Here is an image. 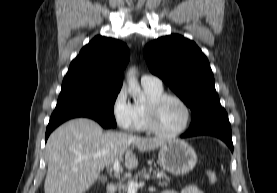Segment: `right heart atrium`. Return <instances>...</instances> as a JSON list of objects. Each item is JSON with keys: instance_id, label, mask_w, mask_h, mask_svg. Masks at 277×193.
Masks as SVG:
<instances>
[{"instance_id": "right-heart-atrium-1", "label": "right heart atrium", "mask_w": 277, "mask_h": 193, "mask_svg": "<svg viewBox=\"0 0 277 193\" xmlns=\"http://www.w3.org/2000/svg\"><path fill=\"white\" fill-rule=\"evenodd\" d=\"M111 112L119 128L127 131L136 129L134 106L129 102L124 88L119 89L116 93L111 104Z\"/></svg>"}]
</instances>
